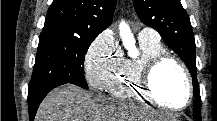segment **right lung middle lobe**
Wrapping results in <instances>:
<instances>
[{"mask_svg":"<svg viewBox=\"0 0 217 121\" xmlns=\"http://www.w3.org/2000/svg\"><path fill=\"white\" fill-rule=\"evenodd\" d=\"M95 37L66 36L42 32L39 37L29 92L50 82L67 81L88 89L84 78V57Z\"/></svg>","mask_w":217,"mask_h":121,"instance_id":"dd1d6c3e","label":"right lung middle lobe"}]
</instances>
